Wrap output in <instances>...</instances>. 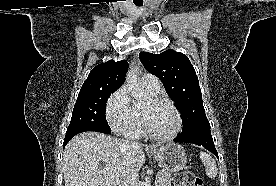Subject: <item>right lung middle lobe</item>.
<instances>
[{"instance_id":"dd1d6c3e","label":"right lung middle lobe","mask_w":276,"mask_h":186,"mask_svg":"<svg viewBox=\"0 0 276 186\" xmlns=\"http://www.w3.org/2000/svg\"><path fill=\"white\" fill-rule=\"evenodd\" d=\"M115 91L99 89L80 91L66 133L84 128L111 130L105 117V107L107 99Z\"/></svg>"}]
</instances>
